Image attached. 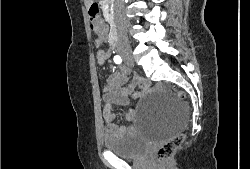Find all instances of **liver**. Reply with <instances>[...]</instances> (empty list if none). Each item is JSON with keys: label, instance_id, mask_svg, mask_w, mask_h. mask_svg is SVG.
<instances>
[{"label": "liver", "instance_id": "liver-1", "mask_svg": "<svg viewBox=\"0 0 250 169\" xmlns=\"http://www.w3.org/2000/svg\"><path fill=\"white\" fill-rule=\"evenodd\" d=\"M84 2L86 4L87 8H89V6H91L93 0H84Z\"/></svg>", "mask_w": 250, "mask_h": 169}]
</instances>
